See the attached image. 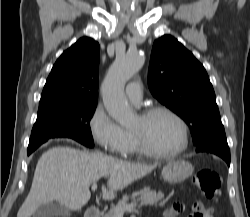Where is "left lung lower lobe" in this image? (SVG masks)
<instances>
[{
    "label": "left lung lower lobe",
    "mask_w": 250,
    "mask_h": 217,
    "mask_svg": "<svg viewBox=\"0 0 250 217\" xmlns=\"http://www.w3.org/2000/svg\"><path fill=\"white\" fill-rule=\"evenodd\" d=\"M196 152H209L223 158L227 165H230V149L228 147L225 132L215 134L205 141L201 142Z\"/></svg>",
    "instance_id": "0a47b994"
}]
</instances>
